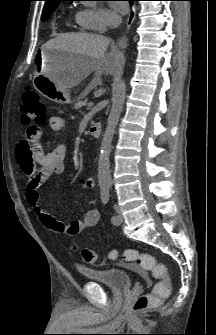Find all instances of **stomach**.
Masks as SVG:
<instances>
[{
    "mask_svg": "<svg viewBox=\"0 0 216 335\" xmlns=\"http://www.w3.org/2000/svg\"><path fill=\"white\" fill-rule=\"evenodd\" d=\"M73 54L50 48H41L36 56V64L40 69L34 79L35 88L47 99L62 105L73 103L68 89H63L52 79L62 73L70 65Z\"/></svg>",
    "mask_w": 216,
    "mask_h": 335,
    "instance_id": "0dacf381",
    "label": "stomach"
}]
</instances>
